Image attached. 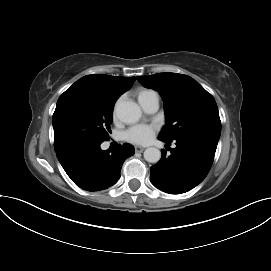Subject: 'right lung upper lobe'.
<instances>
[{"instance_id": "1", "label": "right lung upper lobe", "mask_w": 271, "mask_h": 271, "mask_svg": "<svg viewBox=\"0 0 271 271\" xmlns=\"http://www.w3.org/2000/svg\"><path fill=\"white\" fill-rule=\"evenodd\" d=\"M135 81V77H114L104 74L87 75L76 81L64 93L71 91H83L88 96L99 100L114 101L127 90ZM64 153H56L60 157Z\"/></svg>"}]
</instances>
